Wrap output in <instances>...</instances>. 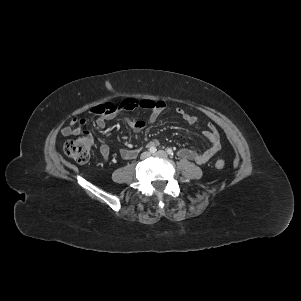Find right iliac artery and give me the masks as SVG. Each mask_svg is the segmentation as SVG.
<instances>
[{
  "label": "right iliac artery",
  "instance_id": "82829eb1",
  "mask_svg": "<svg viewBox=\"0 0 301 301\" xmlns=\"http://www.w3.org/2000/svg\"><path fill=\"white\" fill-rule=\"evenodd\" d=\"M156 147H154V146H152V147H150L149 148V151L151 152V153H155L156 152Z\"/></svg>",
  "mask_w": 301,
  "mask_h": 301
}]
</instances>
